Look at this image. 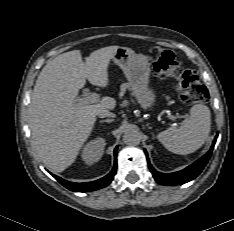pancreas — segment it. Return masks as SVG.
Masks as SVG:
<instances>
[{
  "label": "pancreas",
  "instance_id": "1",
  "mask_svg": "<svg viewBox=\"0 0 234 231\" xmlns=\"http://www.w3.org/2000/svg\"><path fill=\"white\" fill-rule=\"evenodd\" d=\"M128 88H129V85L127 83L122 84L120 87L121 92H125Z\"/></svg>",
  "mask_w": 234,
  "mask_h": 231
}]
</instances>
